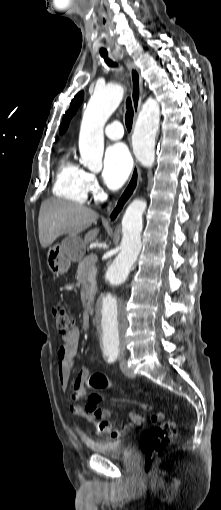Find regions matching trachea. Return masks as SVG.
Wrapping results in <instances>:
<instances>
[{"label":"trachea","instance_id":"obj_1","mask_svg":"<svg viewBox=\"0 0 221 510\" xmlns=\"http://www.w3.org/2000/svg\"><path fill=\"white\" fill-rule=\"evenodd\" d=\"M100 55L101 57L104 59L105 63L109 66V67H116L117 64L115 62H113L109 57H108V53L106 52H100ZM133 116H134V111H133V108H132V102H131V99L128 98L126 100V114H125V124H126V127L128 129V131L130 132L131 131V128H132V123H133Z\"/></svg>","mask_w":221,"mask_h":510}]
</instances>
